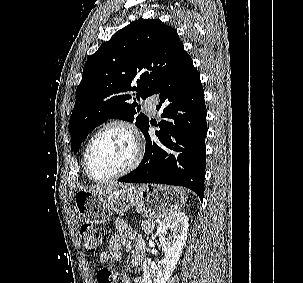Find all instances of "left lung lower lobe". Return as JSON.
I'll list each match as a JSON object with an SVG mask.
<instances>
[{
  "mask_svg": "<svg viewBox=\"0 0 303 283\" xmlns=\"http://www.w3.org/2000/svg\"><path fill=\"white\" fill-rule=\"evenodd\" d=\"M153 94L160 99L157 105V110L162 109L160 129L156 138H151L148 121L142 130L146 139L144 158L133 172L118 181L184 186L202 200L207 111L200 75L185 50Z\"/></svg>",
  "mask_w": 303,
  "mask_h": 283,
  "instance_id": "obj_1",
  "label": "left lung lower lobe"
}]
</instances>
